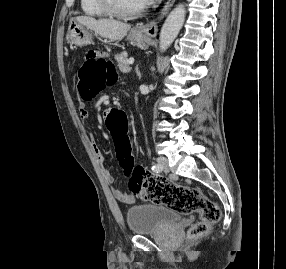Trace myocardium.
<instances>
[{"mask_svg": "<svg viewBox=\"0 0 286 269\" xmlns=\"http://www.w3.org/2000/svg\"><path fill=\"white\" fill-rule=\"evenodd\" d=\"M100 8L111 17L119 18V19H127L133 18L140 15L144 12L146 5L139 7L133 11H122L120 10L117 5L115 4L114 0H97Z\"/></svg>", "mask_w": 286, "mask_h": 269, "instance_id": "obj_1", "label": "myocardium"}]
</instances>
